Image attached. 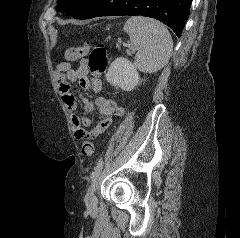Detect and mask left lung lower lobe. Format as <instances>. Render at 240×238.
<instances>
[{
    "mask_svg": "<svg viewBox=\"0 0 240 238\" xmlns=\"http://www.w3.org/2000/svg\"><path fill=\"white\" fill-rule=\"evenodd\" d=\"M192 0H91L74 18L141 15L168 25L180 37L189 16Z\"/></svg>",
    "mask_w": 240,
    "mask_h": 238,
    "instance_id": "obj_1",
    "label": "left lung lower lobe"
}]
</instances>
